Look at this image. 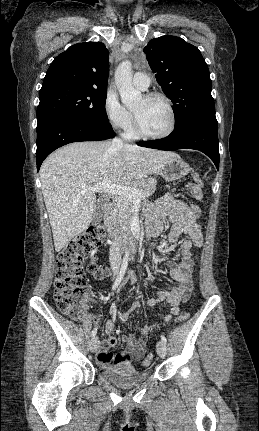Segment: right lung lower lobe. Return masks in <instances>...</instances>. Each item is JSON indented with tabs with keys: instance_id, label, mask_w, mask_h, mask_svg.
<instances>
[{
	"instance_id": "1",
	"label": "right lung lower lobe",
	"mask_w": 259,
	"mask_h": 431,
	"mask_svg": "<svg viewBox=\"0 0 259 431\" xmlns=\"http://www.w3.org/2000/svg\"><path fill=\"white\" fill-rule=\"evenodd\" d=\"M37 170L57 148L72 142L106 140L114 137L109 122H97L73 115H57L37 124Z\"/></svg>"
}]
</instances>
